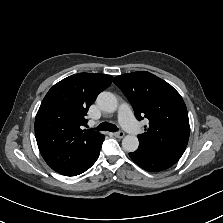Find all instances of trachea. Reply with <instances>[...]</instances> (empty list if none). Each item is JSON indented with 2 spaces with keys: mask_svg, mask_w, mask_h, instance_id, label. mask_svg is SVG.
<instances>
[{
  "mask_svg": "<svg viewBox=\"0 0 223 223\" xmlns=\"http://www.w3.org/2000/svg\"><path fill=\"white\" fill-rule=\"evenodd\" d=\"M96 130L115 132V131H118V128L113 124L103 122L98 127H96Z\"/></svg>",
  "mask_w": 223,
  "mask_h": 223,
  "instance_id": "3493384b",
  "label": "trachea"
}]
</instances>
